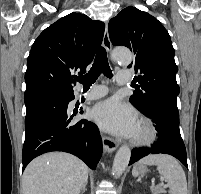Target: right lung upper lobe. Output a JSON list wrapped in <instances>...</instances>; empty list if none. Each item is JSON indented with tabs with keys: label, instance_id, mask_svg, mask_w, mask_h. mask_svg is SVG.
Instances as JSON below:
<instances>
[{
	"label": "right lung upper lobe",
	"instance_id": "1",
	"mask_svg": "<svg viewBox=\"0 0 201 194\" xmlns=\"http://www.w3.org/2000/svg\"><path fill=\"white\" fill-rule=\"evenodd\" d=\"M105 25L70 13L46 28L32 45L25 73V93L48 89L73 91L76 73L83 74L102 42Z\"/></svg>",
	"mask_w": 201,
	"mask_h": 194
}]
</instances>
